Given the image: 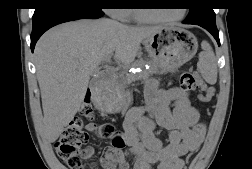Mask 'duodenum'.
<instances>
[{
  "label": "duodenum",
  "instance_id": "410a0bca",
  "mask_svg": "<svg viewBox=\"0 0 252 169\" xmlns=\"http://www.w3.org/2000/svg\"><path fill=\"white\" fill-rule=\"evenodd\" d=\"M110 76L111 75L109 73H103L101 76H99V79H108Z\"/></svg>",
  "mask_w": 252,
  "mask_h": 169
}]
</instances>
